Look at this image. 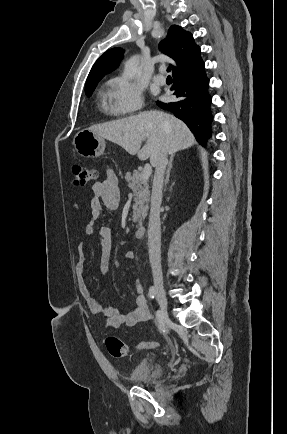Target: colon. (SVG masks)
<instances>
[{
	"instance_id": "5ec220e1",
	"label": "colon",
	"mask_w": 287,
	"mask_h": 434,
	"mask_svg": "<svg viewBox=\"0 0 287 434\" xmlns=\"http://www.w3.org/2000/svg\"><path fill=\"white\" fill-rule=\"evenodd\" d=\"M75 176L74 183L78 186H85L94 182L98 177V171L95 168L86 167L80 164L73 166ZM106 348L114 358H124L131 354V347L115 336L107 337ZM158 344L154 341L140 342L135 346L136 350H146L156 347Z\"/></svg>"
}]
</instances>
